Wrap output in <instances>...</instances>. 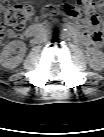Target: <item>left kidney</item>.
<instances>
[{
	"label": "left kidney",
	"mask_w": 104,
	"mask_h": 137,
	"mask_svg": "<svg viewBox=\"0 0 104 137\" xmlns=\"http://www.w3.org/2000/svg\"><path fill=\"white\" fill-rule=\"evenodd\" d=\"M89 66L94 70H101L104 65L103 53L97 49L90 48L87 53Z\"/></svg>",
	"instance_id": "obj_1"
}]
</instances>
